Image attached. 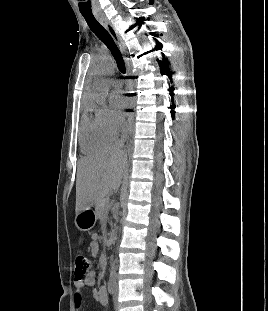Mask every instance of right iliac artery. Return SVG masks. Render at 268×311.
<instances>
[{
    "label": "right iliac artery",
    "instance_id": "obj_1",
    "mask_svg": "<svg viewBox=\"0 0 268 311\" xmlns=\"http://www.w3.org/2000/svg\"><path fill=\"white\" fill-rule=\"evenodd\" d=\"M115 282L113 279H110L108 282V292L112 295L114 294Z\"/></svg>",
    "mask_w": 268,
    "mask_h": 311
}]
</instances>
